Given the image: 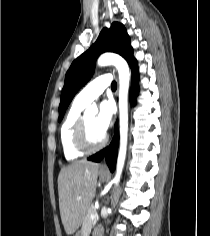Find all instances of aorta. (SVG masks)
I'll list each match as a JSON object with an SVG mask.
<instances>
[{"mask_svg": "<svg viewBox=\"0 0 210 236\" xmlns=\"http://www.w3.org/2000/svg\"><path fill=\"white\" fill-rule=\"evenodd\" d=\"M97 65L100 67L114 65L119 74V119H120V147L117 158L116 174L113 183L120 181L127 151L128 138V91L130 81V71L127 62L118 54L104 53L98 60ZM97 112V107L92 105L87 108L85 113Z\"/></svg>", "mask_w": 210, "mask_h": 236, "instance_id": "obj_1", "label": "aorta"}]
</instances>
